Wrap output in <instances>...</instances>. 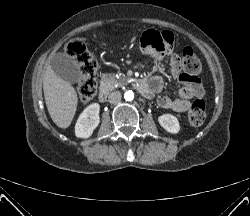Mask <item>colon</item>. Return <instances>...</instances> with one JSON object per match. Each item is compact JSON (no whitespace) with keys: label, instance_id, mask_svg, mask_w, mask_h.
<instances>
[{"label":"colon","instance_id":"obj_1","mask_svg":"<svg viewBox=\"0 0 250 216\" xmlns=\"http://www.w3.org/2000/svg\"><path fill=\"white\" fill-rule=\"evenodd\" d=\"M67 54L75 60L81 72V81L78 84V95L82 103L90 102L97 91V68L96 59L86 45L80 41H73L67 45ZM182 72L186 76L197 77L201 72L202 65L191 48H185L179 59ZM188 119L192 125L199 126L206 119L205 103L197 98L189 110Z\"/></svg>","mask_w":250,"mask_h":216}]
</instances>
